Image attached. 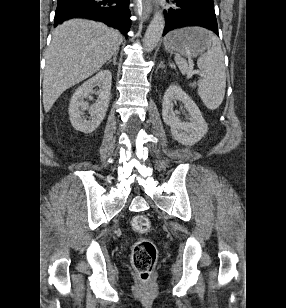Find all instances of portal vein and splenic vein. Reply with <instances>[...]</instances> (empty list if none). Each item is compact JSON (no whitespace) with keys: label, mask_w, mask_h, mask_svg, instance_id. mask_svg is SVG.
I'll list each match as a JSON object with an SVG mask.
<instances>
[{"label":"portal vein and splenic vein","mask_w":286,"mask_h":308,"mask_svg":"<svg viewBox=\"0 0 286 308\" xmlns=\"http://www.w3.org/2000/svg\"><path fill=\"white\" fill-rule=\"evenodd\" d=\"M195 73H198V72L193 71V69H191L190 72H189V74H188L187 79H190V78L193 76V74H195Z\"/></svg>","instance_id":"obj_1"}]
</instances>
